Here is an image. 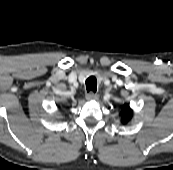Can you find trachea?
I'll return each mask as SVG.
<instances>
[{"mask_svg":"<svg viewBox=\"0 0 173 170\" xmlns=\"http://www.w3.org/2000/svg\"><path fill=\"white\" fill-rule=\"evenodd\" d=\"M86 89L87 92H96L97 90V79L94 76H90L86 79Z\"/></svg>","mask_w":173,"mask_h":170,"instance_id":"obj_1","label":"trachea"}]
</instances>
